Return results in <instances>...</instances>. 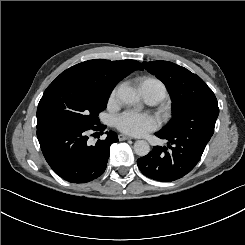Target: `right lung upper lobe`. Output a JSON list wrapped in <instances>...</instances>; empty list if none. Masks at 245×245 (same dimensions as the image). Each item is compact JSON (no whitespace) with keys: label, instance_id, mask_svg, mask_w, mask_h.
Instances as JSON below:
<instances>
[{"label":"right lung upper lobe","instance_id":"cb5924a9","mask_svg":"<svg viewBox=\"0 0 245 245\" xmlns=\"http://www.w3.org/2000/svg\"><path fill=\"white\" fill-rule=\"evenodd\" d=\"M136 60L110 61L94 59L79 63L62 72L89 79L103 87L113 90L116 84L135 70H142Z\"/></svg>","mask_w":245,"mask_h":245}]
</instances>
